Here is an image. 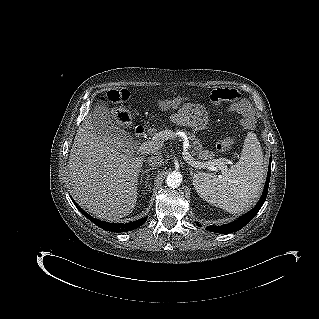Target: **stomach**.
I'll list each match as a JSON object with an SVG mask.
<instances>
[{"mask_svg":"<svg viewBox=\"0 0 319 319\" xmlns=\"http://www.w3.org/2000/svg\"><path fill=\"white\" fill-rule=\"evenodd\" d=\"M184 125L194 130H203L208 124V114L204 108L186 106L182 112Z\"/></svg>","mask_w":319,"mask_h":319,"instance_id":"stomach-1","label":"stomach"}]
</instances>
